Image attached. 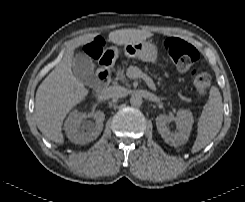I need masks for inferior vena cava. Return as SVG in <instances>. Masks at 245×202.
Returning <instances> with one entry per match:
<instances>
[{
	"label": "inferior vena cava",
	"mask_w": 245,
	"mask_h": 202,
	"mask_svg": "<svg viewBox=\"0 0 245 202\" xmlns=\"http://www.w3.org/2000/svg\"><path fill=\"white\" fill-rule=\"evenodd\" d=\"M125 95V89L121 86H111L103 91V96L106 99H117Z\"/></svg>",
	"instance_id": "inferior-vena-cava-1"
}]
</instances>
